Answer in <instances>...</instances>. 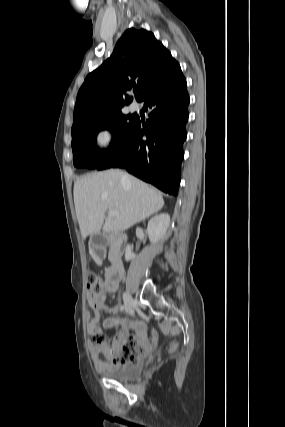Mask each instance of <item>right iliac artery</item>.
Instances as JSON below:
<instances>
[{
  "label": "right iliac artery",
  "instance_id": "82829eb1",
  "mask_svg": "<svg viewBox=\"0 0 285 427\" xmlns=\"http://www.w3.org/2000/svg\"><path fill=\"white\" fill-rule=\"evenodd\" d=\"M124 309V306H121V310H123Z\"/></svg>",
  "mask_w": 285,
  "mask_h": 427
}]
</instances>
